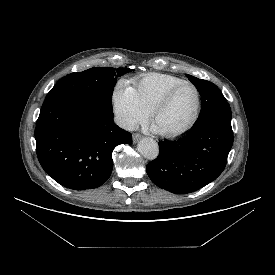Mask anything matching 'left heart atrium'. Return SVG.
<instances>
[{"instance_id":"obj_1","label":"left heart atrium","mask_w":275,"mask_h":275,"mask_svg":"<svg viewBox=\"0 0 275 275\" xmlns=\"http://www.w3.org/2000/svg\"><path fill=\"white\" fill-rule=\"evenodd\" d=\"M152 129H153L154 131H158V132L160 131L159 128H158L155 124L152 126Z\"/></svg>"}]
</instances>
